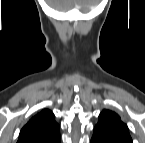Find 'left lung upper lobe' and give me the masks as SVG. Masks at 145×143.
<instances>
[{"instance_id":"obj_1","label":"left lung upper lobe","mask_w":145,"mask_h":143,"mask_svg":"<svg viewBox=\"0 0 145 143\" xmlns=\"http://www.w3.org/2000/svg\"><path fill=\"white\" fill-rule=\"evenodd\" d=\"M93 137L104 143H132L127 125L111 110L100 113Z\"/></svg>"}]
</instances>
